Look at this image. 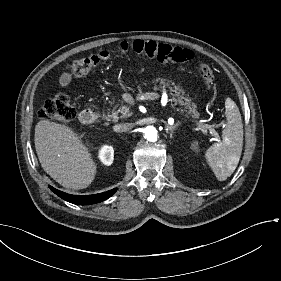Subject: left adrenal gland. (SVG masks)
Wrapping results in <instances>:
<instances>
[{
	"label": "left adrenal gland",
	"mask_w": 281,
	"mask_h": 281,
	"mask_svg": "<svg viewBox=\"0 0 281 281\" xmlns=\"http://www.w3.org/2000/svg\"><path fill=\"white\" fill-rule=\"evenodd\" d=\"M179 125V123H176V124H174L173 126H167V128L169 129V131L171 132V133H173L174 132V130L176 129V127Z\"/></svg>",
	"instance_id": "left-adrenal-gland-1"
}]
</instances>
